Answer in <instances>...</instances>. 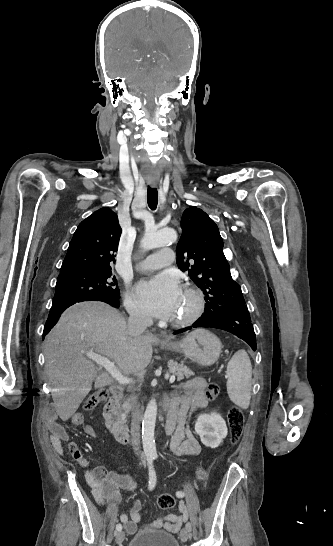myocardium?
Returning a JSON list of instances; mask_svg holds the SVG:
<instances>
[{"instance_id":"1","label":"myocardium","mask_w":333,"mask_h":546,"mask_svg":"<svg viewBox=\"0 0 333 546\" xmlns=\"http://www.w3.org/2000/svg\"><path fill=\"white\" fill-rule=\"evenodd\" d=\"M184 291L191 297L193 306L191 311L181 319H171L170 323L175 327H186L193 324L203 313L205 299L203 294L195 286L187 284Z\"/></svg>"}]
</instances>
